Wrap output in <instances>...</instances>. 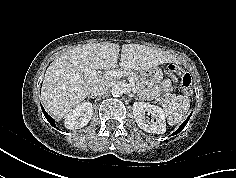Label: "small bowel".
Instances as JSON below:
<instances>
[{"label":"small bowel","mask_w":236,"mask_h":178,"mask_svg":"<svg viewBox=\"0 0 236 178\" xmlns=\"http://www.w3.org/2000/svg\"><path fill=\"white\" fill-rule=\"evenodd\" d=\"M166 88H167L166 84H162L161 87H160L161 90H165Z\"/></svg>","instance_id":"small-bowel-1"}]
</instances>
